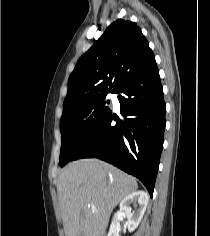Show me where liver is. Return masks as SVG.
<instances>
[{
  "label": "liver",
  "instance_id": "obj_1",
  "mask_svg": "<svg viewBox=\"0 0 210 236\" xmlns=\"http://www.w3.org/2000/svg\"><path fill=\"white\" fill-rule=\"evenodd\" d=\"M137 189L134 177L98 159L68 164L57 181L65 236H103L113 209Z\"/></svg>",
  "mask_w": 210,
  "mask_h": 236
}]
</instances>
